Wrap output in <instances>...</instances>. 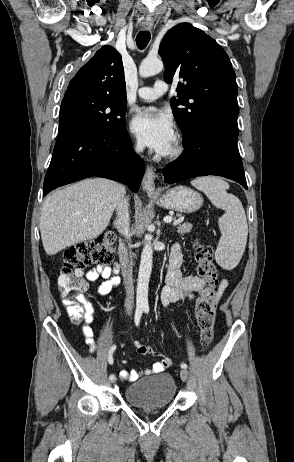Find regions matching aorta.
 Returning <instances> with one entry per match:
<instances>
[{"label":"aorta","mask_w":294,"mask_h":462,"mask_svg":"<svg viewBox=\"0 0 294 462\" xmlns=\"http://www.w3.org/2000/svg\"><path fill=\"white\" fill-rule=\"evenodd\" d=\"M163 69V62L157 58L144 59L139 67L141 77H150L158 74ZM153 249L150 236H145V244L141 253L140 267L137 280L136 306L138 308L148 307V287L152 271Z\"/></svg>","instance_id":"aorta-1"}]
</instances>
